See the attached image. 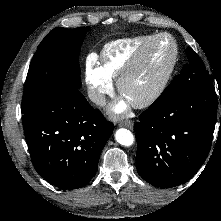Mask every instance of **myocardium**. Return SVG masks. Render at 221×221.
Listing matches in <instances>:
<instances>
[{
  "instance_id": "f54148a6",
  "label": "myocardium",
  "mask_w": 221,
  "mask_h": 221,
  "mask_svg": "<svg viewBox=\"0 0 221 221\" xmlns=\"http://www.w3.org/2000/svg\"><path fill=\"white\" fill-rule=\"evenodd\" d=\"M162 38H167L170 40L172 45V55L170 58V61L158 81V83L155 85V87L143 98L137 101L131 102L132 105L136 108H146L151 106L164 92L166 89L168 82L174 72L177 59H178V46L175 41V39L168 33H159L154 35L138 52L133 62L130 64V66L121 74V76L118 79V90L121 95L125 96L126 87L128 84L134 80L137 75L141 72L143 69L148 54L153 47V45L159 41Z\"/></svg>"
}]
</instances>
